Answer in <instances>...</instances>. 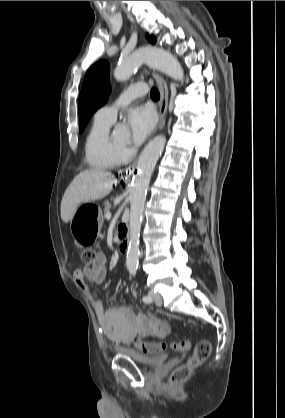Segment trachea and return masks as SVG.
<instances>
[{
	"instance_id": "obj_1",
	"label": "trachea",
	"mask_w": 285,
	"mask_h": 418,
	"mask_svg": "<svg viewBox=\"0 0 285 418\" xmlns=\"http://www.w3.org/2000/svg\"><path fill=\"white\" fill-rule=\"evenodd\" d=\"M150 95H151L152 98H159L160 97L159 91L154 87L151 89Z\"/></svg>"
}]
</instances>
